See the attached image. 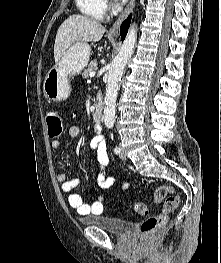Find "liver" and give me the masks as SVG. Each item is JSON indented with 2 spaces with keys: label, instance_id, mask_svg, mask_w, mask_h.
<instances>
[{
  "label": "liver",
  "instance_id": "liver-1",
  "mask_svg": "<svg viewBox=\"0 0 221 263\" xmlns=\"http://www.w3.org/2000/svg\"><path fill=\"white\" fill-rule=\"evenodd\" d=\"M106 29L99 22L82 15H71L59 27L54 44V58L60 61L66 51L76 43L97 42Z\"/></svg>",
  "mask_w": 221,
  "mask_h": 263
}]
</instances>
